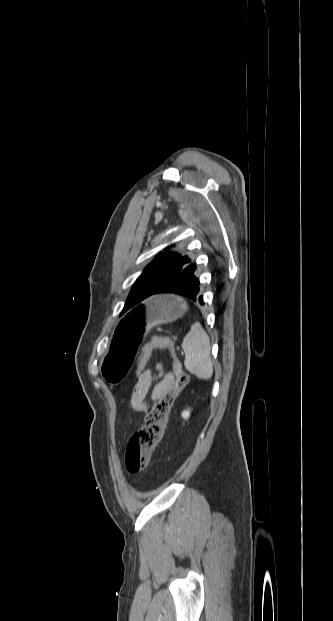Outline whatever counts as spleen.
<instances>
[{"label": "spleen", "mask_w": 333, "mask_h": 621, "mask_svg": "<svg viewBox=\"0 0 333 621\" xmlns=\"http://www.w3.org/2000/svg\"><path fill=\"white\" fill-rule=\"evenodd\" d=\"M181 347L185 353L186 370L199 379L211 378L213 364L210 356V338L200 324L191 327Z\"/></svg>", "instance_id": "spleen-1"}]
</instances>
